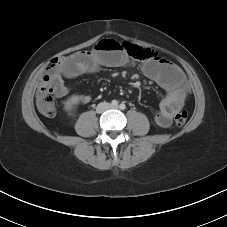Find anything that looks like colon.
Listing matches in <instances>:
<instances>
[{"label": "colon", "mask_w": 227, "mask_h": 227, "mask_svg": "<svg viewBox=\"0 0 227 227\" xmlns=\"http://www.w3.org/2000/svg\"><path fill=\"white\" fill-rule=\"evenodd\" d=\"M122 46L132 58L137 60L147 61L157 56L150 49H144L137 45L124 43ZM61 59L62 58H54L50 61L47 67L49 73L40 81L37 90L36 105L39 112L46 117H53L56 114L55 91L50 82V75L60 64ZM187 118L188 113L186 111L178 112L174 118L176 126L182 127L186 123Z\"/></svg>", "instance_id": "colon-1"}]
</instances>
